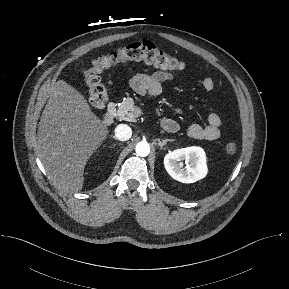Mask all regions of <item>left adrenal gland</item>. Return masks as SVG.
<instances>
[{
  "label": "left adrenal gland",
  "mask_w": 289,
  "mask_h": 289,
  "mask_svg": "<svg viewBox=\"0 0 289 289\" xmlns=\"http://www.w3.org/2000/svg\"><path fill=\"white\" fill-rule=\"evenodd\" d=\"M173 141L172 139H165V140H158V146L162 149L164 145H166L167 142Z\"/></svg>",
  "instance_id": "1"
}]
</instances>
